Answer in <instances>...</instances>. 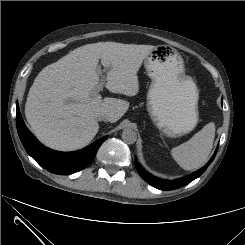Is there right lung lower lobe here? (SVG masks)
<instances>
[{
  "label": "right lung lower lobe",
  "mask_w": 245,
  "mask_h": 245,
  "mask_svg": "<svg viewBox=\"0 0 245 245\" xmlns=\"http://www.w3.org/2000/svg\"><path fill=\"white\" fill-rule=\"evenodd\" d=\"M17 130L27 153L43 168L54 174L70 175L84 169L95 157L107 136L95 141L84 149L74 152H58L43 146L28 130L17 104Z\"/></svg>",
  "instance_id": "obj_1"
}]
</instances>
